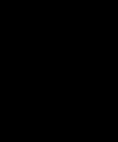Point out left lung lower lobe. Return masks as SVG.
<instances>
[{
	"label": "left lung lower lobe",
	"mask_w": 118,
	"mask_h": 142,
	"mask_svg": "<svg viewBox=\"0 0 118 142\" xmlns=\"http://www.w3.org/2000/svg\"><path fill=\"white\" fill-rule=\"evenodd\" d=\"M63 129L75 139H86L100 133L89 126L84 120L69 111L66 115L60 118Z\"/></svg>",
	"instance_id": "left-lung-lower-lobe-1"
}]
</instances>
